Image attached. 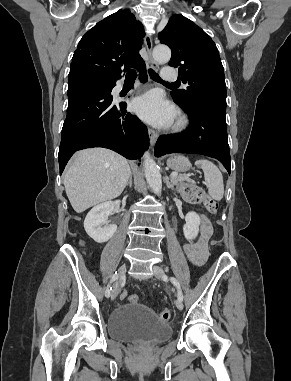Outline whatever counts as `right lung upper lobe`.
Here are the masks:
<instances>
[{"label": "right lung upper lobe", "mask_w": 291, "mask_h": 381, "mask_svg": "<svg viewBox=\"0 0 291 381\" xmlns=\"http://www.w3.org/2000/svg\"><path fill=\"white\" fill-rule=\"evenodd\" d=\"M145 36L143 26L129 10H119L84 34L74 52L69 75H82L100 81L121 78V66L144 64L138 51Z\"/></svg>", "instance_id": "cb5924a9"}]
</instances>
